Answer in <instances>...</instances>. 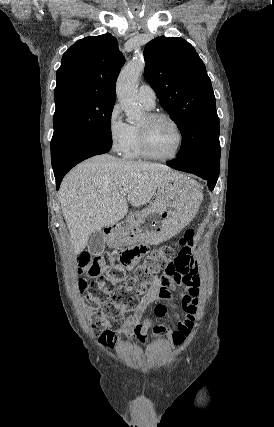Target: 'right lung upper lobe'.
<instances>
[{"label": "right lung upper lobe", "instance_id": "obj_1", "mask_svg": "<svg viewBox=\"0 0 274 427\" xmlns=\"http://www.w3.org/2000/svg\"><path fill=\"white\" fill-rule=\"evenodd\" d=\"M124 64L111 34L78 40L63 55L57 70L55 104L72 98L115 96L116 80Z\"/></svg>", "mask_w": 274, "mask_h": 427}]
</instances>
